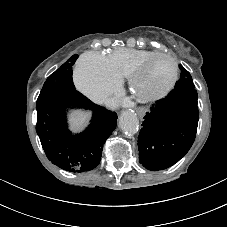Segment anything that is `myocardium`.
<instances>
[{
    "instance_id": "1",
    "label": "myocardium",
    "mask_w": 227,
    "mask_h": 227,
    "mask_svg": "<svg viewBox=\"0 0 227 227\" xmlns=\"http://www.w3.org/2000/svg\"><path fill=\"white\" fill-rule=\"evenodd\" d=\"M157 58H167L171 61L173 65V74L170 81L162 88L150 92H140L138 91V85L141 77L144 75L146 68L148 65ZM178 63L176 59L167 53L157 52L146 59H144L139 65L131 72L128 77L129 80V87L131 92L143 102H152L158 99H161L165 95H167L175 86L178 80Z\"/></svg>"
}]
</instances>
